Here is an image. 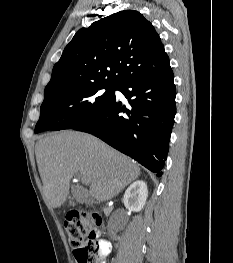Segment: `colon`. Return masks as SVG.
<instances>
[{"mask_svg": "<svg viewBox=\"0 0 233 263\" xmlns=\"http://www.w3.org/2000/svg\"><path fill=\"white\" fill-rule=\"evenodd\" d=\"M102 218L98 213L75 211L64 222L68 241L77 263H101L102 245L98 227Z\"/></svg>", "mask_w": 233, "mask_h": 263, "instance_id": "colon-1", "label": "colon"}]
</instances>
